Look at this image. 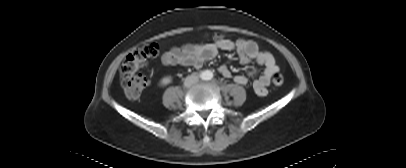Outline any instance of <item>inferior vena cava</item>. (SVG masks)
Masks as SVG:
<instances>
[{"label": "inferior vena cava", "mask_w": 406, "mask_h": 168, "mask_svg": "<svg viewBox=\"0 0 406 168\" xmlns=\"http://www.w3.org/2000/svg\"><path fill=\"white\" fill-rule=\"evenodd\" d=\"M197 81H198V77L195 76V75H191V76H188V77L185 79V85H186V86H190V85L196 83Z\"/></svg>", "instance_id": "inferior-vena-cava-1"}]
</instances>
